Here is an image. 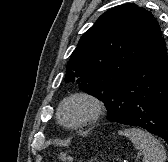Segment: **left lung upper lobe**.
<instances>
[{
  "label": "left lung upper lobe",
  "instance_id": "5c2ea615",
  "mask_svg": "<svg viewBox=\"0 0 168 162\" xmlns=\"http://www.w3.org/2000/svg\"><path fill=\"white\" fill-rule=\"evenodd\" d=\"M153 15L135 4H123L102 14L81 37L66 68V82L107 105L116 86L142 61L160 39Z\"/></svg>",
  "mask_w": 168,
  "mask_h": 162
}]
</instances>
